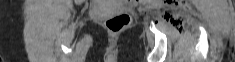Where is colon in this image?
I'll return each instance as SVG.
<instances>
[{
  "label": "colon",
  "instance_id": "obj_1",
  "mask_svg": "<svg viewBox=\"0 0 235 62\" xmlns=\"http://www.w3.org/2000/svg\"><path fill=\"white\" fill-rule=\"evenodd\" d=\"M130 24V16L127 13H120L109 17L105 21L106 28L113 33L124 30Z\"/></svg>",
  "mask_w": 235,
  "mask_h": 62
}]
</instances>
